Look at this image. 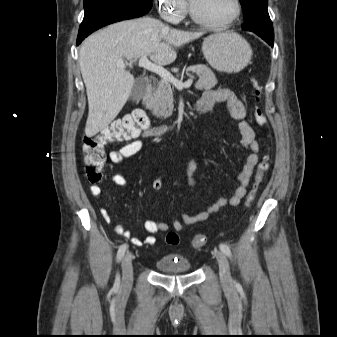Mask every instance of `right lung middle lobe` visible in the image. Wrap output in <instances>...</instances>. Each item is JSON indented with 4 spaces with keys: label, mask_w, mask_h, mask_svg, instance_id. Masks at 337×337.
Listing matches in <instances>:
<instances>
[{
    "label": "right lung middle lobe",
    "mask_w": 337,
    "mask_h": 337,
    "mask_svg": "<svg viewBox=\"0 0 337 337\" xmlns=\"http://www.w3.org/2000/svg\"><path fill=\"white\" fill-rule=\"evenodd\" d=\"M95 1H98V0H84V8ZM126 1L133 2L136 4H151L152 0H126Z\"/></svg>",
    "instance_id": "1"
}]
</instances>
